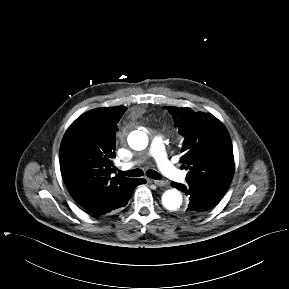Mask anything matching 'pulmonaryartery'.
Listing matches in <instances>:
<instances>
[{
  "instance_id": "pulmonary-artery-1",
  "label": "pulmonary artery",
  "mask_w": 289,
  "mask_h": 289,
  "mask_svg": "<svg viewBox=\"0 0 289 289\" xmlns=\"http://www.w3.org/2000/svg\"><path fill=\"white\" fill-rule=\"evenodd\" d=\"M149 153L156 160L158 168L167 178L176 182L184 181L186 173L179 170L168 159L161 136H155L153 138ZM133 165L134 163H127L124 165V168H130Z\"/></svg>"
}]
</instances>
